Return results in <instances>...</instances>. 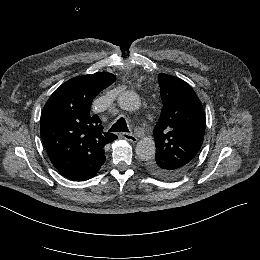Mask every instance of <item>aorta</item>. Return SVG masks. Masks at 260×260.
<instances>
[{
  "label": "aorta",
  "instance_id": "obj_1",
  "mask_svg": "<svg viewBox=\"0 0 260 260\" xmlns=\"http://www.w3.org/2000/svg\"><path fill=\"white\" fill-rule=\"evenodd\" d=\"M118 105L125 111H137L141 107L139 96L132 91H124L118 97ZM136 155L142 161H149L154 158L156 147L153 139L143 138L136 145Z\"/></svg>",
  "mask_w": 260,
  "mask_h": 260
}]
</instances>
